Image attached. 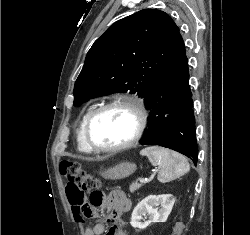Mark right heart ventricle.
<instances>
[{"label":"right heart ventricle","instance_id":"obj_1","mask_svg":"<svg viewBox=\"0 0 250 235\" xmlns=\"http://www.w3.org/2000/svg\"><path fill=\"white\" fill-rule=\"evenodd\" d=\"M93 110H94V108L90 107L84 112V114L82 115L81 120L79 122L78 130H77V147L81 152H84V153L91 152V150L87 147V145L84 141L83 129H84V125H85V122H86L88 116L90 115V113Z\"/></svg>","mask_w":250,"mask_h":235}]
</instances>
